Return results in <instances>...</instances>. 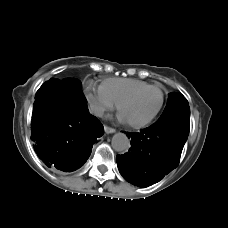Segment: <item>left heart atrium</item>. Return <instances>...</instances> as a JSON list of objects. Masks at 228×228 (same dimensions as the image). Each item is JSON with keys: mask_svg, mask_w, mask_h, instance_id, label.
<instances>
[{"mask_svg": "<svg viewBox=\"0 0 228 228\" xmlns=\"http://www.w3.org/2000/svg\"><path fill=\"white\" fill-rule=\"evenodd\" d=\"M119 117L122 121H127V119L125 118V116L122 113L119 115Z\"/></svg>", "mask_w": 228, "mask_h": 228, "instance_id": "left-heart-atrium-1", "label": "left heart atrium"}]
</instances>
